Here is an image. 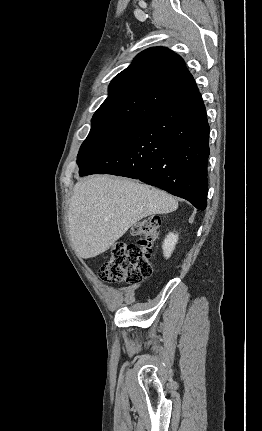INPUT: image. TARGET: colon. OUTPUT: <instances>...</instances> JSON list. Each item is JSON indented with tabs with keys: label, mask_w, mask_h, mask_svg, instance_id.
Returning <instances> with one entry per match:
<instances>
[{
	"label": "colon",
	"mask_w": 262,
	"mask_h": 431,
	"mask_svg": "<svg viewBox=\"0 0 262 431\" xmlns=\"http://www.w3.org/2000/svg\"><path fill=\"white\" fill-rule=\"evenodd\" d=\"M160 218L142 220L134 230L136 240L117 244L107 262L98 271L101 280L109 283H139L152 274L153 246L159 238Z\"/></svg>",
	"instance_id": "colon-1"
}]
</instances>
